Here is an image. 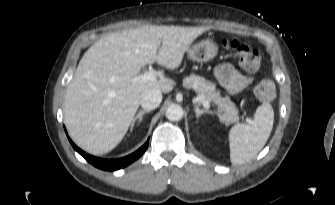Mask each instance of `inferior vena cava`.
I'll return each instance as SVG.
<instances>
[{
    "mask_svg": "<svg viewBox=\"0 0 335 205\" xmlns=\"http://www.w3.org/2000/svg\"><path fill=\"white\" fill-rule=\"evenodd\" d=\"M162 101V94L159 90L148 89L142 93L140 98V105L145 110H152L159 106Z\"/></svg>",
    "mask_w": 335,
    "mask_h": 205,
    "instance_id": "1",
    "label": "inferior vena cava"
}]
</instances>
